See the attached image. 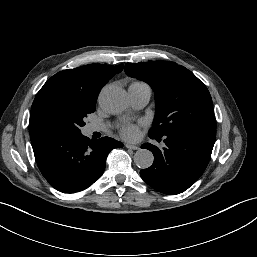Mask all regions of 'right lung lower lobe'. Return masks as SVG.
<instances>
[{
    "instance_id": "1",
    "label": "right lung lower lobe",
    "mask_w": 257,
    "mask_h": 257,
    "mask_svg": "<svg viewBox=\"0 0 257 257\" xmlns=\"http://www.w3.org/2000/svg\"><path fill=\"white\" fill-rule=\"evenodd\" d=\"M37 165L58 191H82L103 174L106 158L123 144L109 137L90 140L79 134L35 135L31 140Z\"/></svg>"
}]
</instances>
